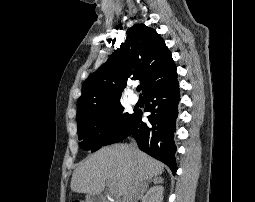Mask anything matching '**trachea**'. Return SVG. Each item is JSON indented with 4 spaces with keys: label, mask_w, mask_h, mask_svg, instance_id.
<instances>
[{
    "label": "trachea",
    "mask_w": 255,
    "mask_h": 202,
    "mask_svg": "<svg viewBox=\"0 0 255 202\" xmlns=\"http://www.w3.org/2000/svg\"><path fill=\"white\" fill-rule=\"evenodd\" d=\"M137 91L140 92L141 91V86L137 87Z\"/></svg>",
    "instance_id": "3493384b"
}]
</instances>
